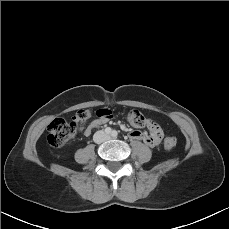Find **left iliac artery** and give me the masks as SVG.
Listing matches in <instances>:
<instances>
[{"label": "left iliac artery", "mask_w": 229, "mask_h": 229, "mask_svg": "<svg viewBox=\"0 0 229 229\" xmlns=\"http://www.w3.org/2000/svg\"><path fill=\"white\" fill-rule=\"evenodd\" d=\"M111 135L113 137H117L118 136V132L116 130H113L112 133H111Z\"/></svg>", "instance_id": "44dca946"}]
</instances>
